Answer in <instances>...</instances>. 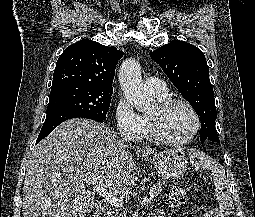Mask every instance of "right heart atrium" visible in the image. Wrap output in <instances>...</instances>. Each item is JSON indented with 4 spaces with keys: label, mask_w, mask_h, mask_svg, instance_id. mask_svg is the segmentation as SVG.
I'll return each mask as SVG.
<instances>
[{
    "label": "right heart atrium",
    "mask_w": 255,
    "mask_h": 217,
    "mask_svg": "<svg viewBox=\"0 0 255 217\" xmlns=\"http://www.w3.org/2000/svg\"><path fill=\"white\" fill-rule=\"evenodd\" d=\"M114 116L120 134L129 140H138L144 137L146 133L144 119L135 111L128 100L123 97L117 100Z\"/></svg>",
    "instance_id": "1"
}]
</instances>
